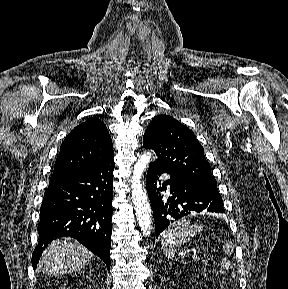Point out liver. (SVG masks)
<instances>
[{
    "label": "liver",
    "mask_w": 288,
    "mask_h": 289,
    "mask_svg": "<svg viewBox=\"0 0 288 289\" xmlns=\"http://www.w3.org/2000/svg\"><path fill=\"white\" fill-rule=\"evenodd\" d=\"M93 254L70 238L54 240L44 250L39 268L49 275H63L84 268Z\"/></svg>",
    "instance_id": "6515ba94"
}]
</instances>
